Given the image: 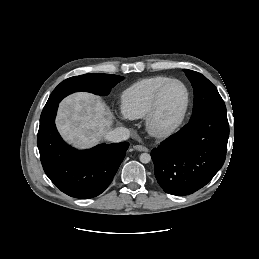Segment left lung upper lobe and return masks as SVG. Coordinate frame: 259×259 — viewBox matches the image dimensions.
<instances>
[{
  "instance_id": "5c2ea615",
  "label": "left lung upper lobe",
  "mask_w": 259,
  "mask_h": 259,
  "mask_svg": "<svg viewBox=\"0 0 259 259\" xmlns=\"http://www.w3.org/2000/svg\"><path fill=\"white\" fill-rule=\"evenodd\" d=\"M194 89V105L191 119L207 113H226V106L217 88L205 76L196 71L184 69Z\"/></svg>"
}]
</instances>
